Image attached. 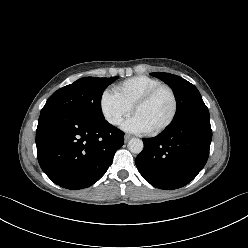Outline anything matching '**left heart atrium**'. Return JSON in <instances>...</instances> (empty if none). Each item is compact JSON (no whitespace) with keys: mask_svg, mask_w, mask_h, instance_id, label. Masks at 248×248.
<instances>
[{"mask_svg":"<svg viewBox=\"0 0 248 248\" xmlns=\"http://www.w3.org/2000/svg\"><path fill=\"white\" fill-rule=\"evenodd\" d=\"M122 128L129 132L134 133H146L149 132L146 125L143 123V121L137 116L133 115L129 119H127L123 124Z\"/></svg>","mask_w":248,"mask_h":248,"instance_id":"39dd6f15","label":"left heart atrium"}]
</instances>
